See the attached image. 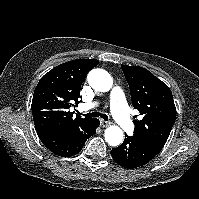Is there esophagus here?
Wrapping results in <instances>:
<instances>
[{"mask_svg": "<svg viewBox=\"0 0 199 199\" xmlns=\"http://www.w3.org/2000/svg\"><path fill=\"white\" fill-rule=\"evenodd\" d=\"M100 123H101V126H102V127H107V126L110 125V122L105 121V120H101Z\"/></svg>", "mask_w": 199, "mask_h": 199, "instance_id": "34e87169", "label": "esophagus"}]
</instances>
